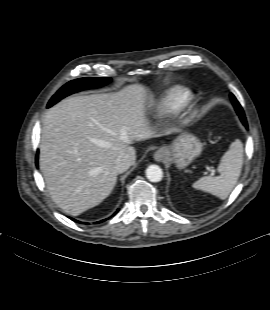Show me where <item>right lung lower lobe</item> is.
<instances>
[{"label":"right lung lower lobe","instance_id":"obj_1","mask_svg":"<svg viewBox=\"0 0 270 310\" xmlns=\"http://www.w3.org/2000/svg\"><path fill=\"white\" fill-rule=\"evenodd\" d=\"M116 213H117V212H116ZM74 221L79 222V221H77V220H74ZM102 221H105V220H102ZM102 221H99V222H102ZM99 222H96V223H99Z\"/></svg>","mask_w":270,"mask_h":310}]
</instances>
